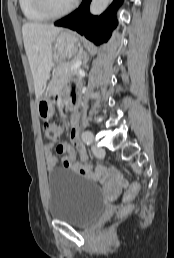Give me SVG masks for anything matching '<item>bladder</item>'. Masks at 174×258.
Here are the masks:
<instances>
[{
    "instance_id": "obj_1",
    "label": "bladder",
    "mask_w": 174,
    "mask_h": 258,
    "mask_svg": "<svg viewBox=\"0 0 174 258\" xmlns=\"http://www.w3.org/2000/svg\"><path fill=\"white\" fill-rule=\"evenodd\" d=\"M48 191L50 217L75 226L90 224L105 208L101 188L68 169L49 172Z\"/></svg>"
}]
</instances>
